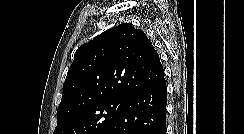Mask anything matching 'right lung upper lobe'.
<instances>
[{
  "instance_id": "right-lung-upper-lobe-1",
  "label": "right lung upper lobe",
  "mask_w": 244,
  "mask_h": 134,
  "mask_svg": "<svg viewBox=\"0 0 244 134\" xmlns=\"http://www.w3.org/2000/svg\"><path fill=\"white\" fill-rule=\"evenodd\" d=\"M164 79L159 55L142 30L129 23L113 27L74 54L57 109V120L111 98L128 99Z\"/></svg>"
}]
</instances>
